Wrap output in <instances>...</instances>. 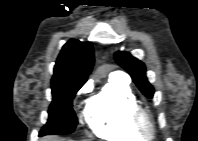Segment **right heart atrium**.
<instances>
[{
	"mask_svg": "<svg viewBox=\"0 0 198 141\" xmlns=\"http://www.w3.org/2000/svg\"><path fill=\"white\" fill-rule=\"evenodd\" d=\"M88 90V86L86 85V86H84L82 89H81V93H84V92H86Z\"/></svg>",
	"mask_w": 198,
	"mask_h": 141,
	"instance_id": "1",
	"label": "right heart atrium"
}]
</instances>
